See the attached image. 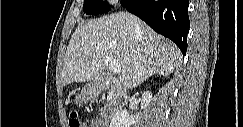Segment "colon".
<instances>
[{
  "instance_id": "obj_1",
  "label": "colon",
  "mask_w": 243,
  "mask_h": 127,
  "mask_svg": "<svg viewBox=\"0 0 243 127\" xmlns=\"http://www.w3.org/2000/svg\"><path fill=\"white\" fill-rule=\"evenodd\" d=\"M69 126L70 127H83V122L79 119L75 112H72L69 117Z\"/></svg>"
}]
</instances>
